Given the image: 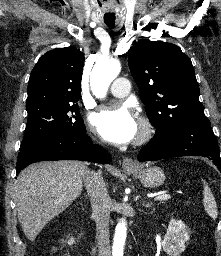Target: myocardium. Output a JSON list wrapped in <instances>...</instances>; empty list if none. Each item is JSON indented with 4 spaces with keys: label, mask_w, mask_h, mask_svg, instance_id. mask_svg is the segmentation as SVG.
Here are the masks:
<instances>
[{
    "label": "myocardium",
    "mask_w": 221,
    "mask_h": 256,
    "mask_svg": "<svg viewBox=\"0 0 221 256\" xmlns=\"http://www.w3.org/2000/svg\"><path fill=\"white\" fill-rule=\"evenodd\" d=\"M155 133V127L151 120L147 117L142 116L140 118V131L137 137L136 143L138 145L148 142Z\"/></svg>",
    "instance_id": "obj_1"
}]
</instances>
